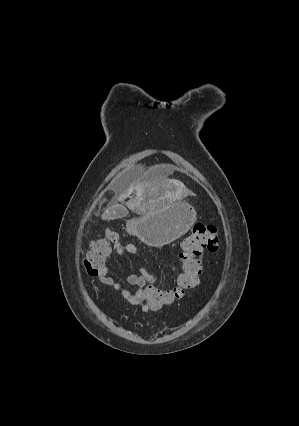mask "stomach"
<instances>
[{
    "mask_svg": "<svg viewBox=\"0 0 299 426\" xmlns=\"http://www.w3.org/2000/svg\"><path fill=\"white\" fill-rule=\"evenodd\" d=\"M196 219L192 205L186 201H173L130 219L126 230L146 245L160 248L183 236Z\"/></svg>",
    "mask_w": 299,
    "mask_h": 426,
    "instance_id": "stomach-1",
    "label": "stomach"
}]
</instances>
